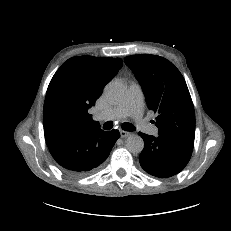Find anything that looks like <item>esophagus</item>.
Instances as JSON below:
<instances>
[{
    "instance_id": "1",
    "label": "esophagus",
    "mask_w": 231,
    "mask_h": 231,
    "mask_svg": "<svg viewBox=\"0 0 231 231\" xmlns=\"http://www.w3.org/2000/svg\"><path fill=\"white\" fill-rule=\"evenodd\" d=\"M129 135H130V132L124 131V130H120V136H121L122 138H126V137H128Z\"/></svg>"
}]
</instances>
